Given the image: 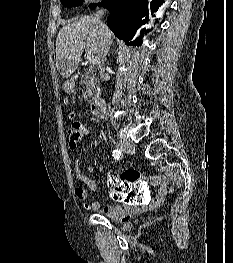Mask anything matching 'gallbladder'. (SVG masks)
Listing matches in <instances>:
<instances>
[{"label":"gallbladder","mask_w":233,"mask_h":263,"mask_svg":"<svg viewBox=\"0 0 233 263\" xmlns=\"http://www.w3.org/2000/svg\"><path fill=\"white\" fill-rule=\"evenodd\" d=\"M57 69L60 70V62H58Z\"/></svg>","instance_id":"1"}]
</instances>
